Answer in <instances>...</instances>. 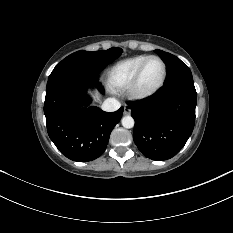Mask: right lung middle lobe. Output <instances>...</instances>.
<instances>
[{"instance_id":"obj_1","label":"right lung middle lobe","mask_w":233,"mask_h":233,"mask_svg":"<svg viewBox=\"0 0 233 233\" xmlns=\"http://www.w3.org/2000/svg\"><path fill=\"white\" fill-rule=\"evenodd\" d=\"M122 53L121 48H110L95 52L77 51L64 58L49 77L59 74H97Z\"/></svg>"}]
</instances>
